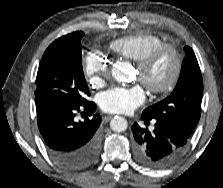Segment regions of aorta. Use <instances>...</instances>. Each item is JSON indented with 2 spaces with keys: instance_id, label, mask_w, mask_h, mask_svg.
Wrapping results in <instances>:
<instances>
[{
  "instance_id": "obj_1",
  "label": "aorta",
  "mask_w": 223,
  "mask_h": 188,
  "mask_svg": "<svg viewBox=\"0 0 223 188\" xmlns=\"http://www.w3.org/2000/svg\"><path fill=\"white\" fill-rule=\"evenodd\" d=\"M111 73L116 81L128 82L132 78L133 69L130 63L126 61H118L113 65ZM127 126V120L120 116L114 117L110 122V127L115 132L125 131Z\"/></svg>"
}]
</instances>
